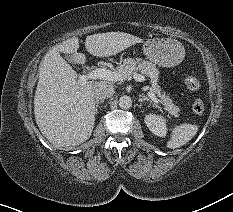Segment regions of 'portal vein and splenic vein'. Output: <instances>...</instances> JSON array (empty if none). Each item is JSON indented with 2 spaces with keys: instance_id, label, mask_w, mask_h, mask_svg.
I'll return each mask as SVG.
<instances>
[{
  "instance_id": "portal-vein-and-splenic-vein-1",
  "label": "portal vein and splenic vein",
  "mask_w": 233,
  "mask_h": 212,
  "mask_svg": "<svg viewBox=\"0 0 233 212\" xmlns=\"http://www.w3.org/2000/svg\"><path fill=\"white\" fill-rule=\"evenodd\" d=\"M133 78L136 80V81H144V76L140 75V74H137L135 73L133 75ZM90 79H104V80H108V81H122L124 78L123 76L118 73V72H114V71H111V70H107V69H104V68H97V69H94L92 70L91 72H89L88 74L86 75H81L78 79V81L81 83V84H85L87 82V80H90ZM148 96L156 103H158V98L155 96V94L153 92H148Z\"/></svg>"
}]
</instances>
